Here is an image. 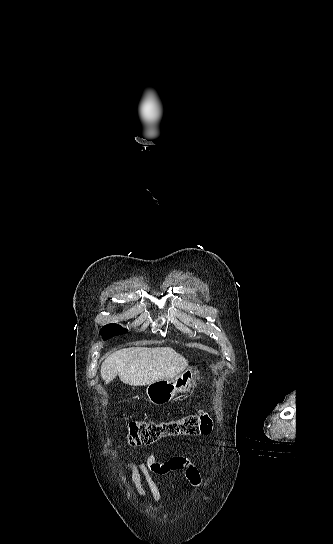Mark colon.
Wrapping results in <instances>:
<instances>
[{
    "label": "colon",
    "mask_w": 333,
    "mask_h": 544,
    "mask_svg": "<svg viewBox=\"0 0 333 544\" xmlns=\"http://www.w3.org/2000/svg\"><path fill=\"white\" fill-rule=\"evenodd\" d=\"M212 428L211 417L204 414L162 421H132L128 425L127 442L131 447H138L165 437L209 434Z\"/></svg>",
    "instance_id": "1"
}]
</instances>
